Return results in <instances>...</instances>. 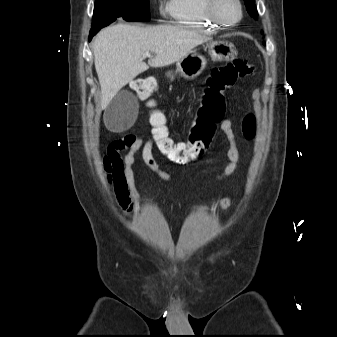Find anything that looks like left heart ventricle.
Here are the masks:
<instances>
[{
    "label": "left heart ventricle",
    "mask_w": 337,
    "mask_h": 337,
    "mask_svg": "<svg viewBox=\"0 0 337 337\" xmlns=\"http://www.w3.org/2000/svg\"><path fill=\"white\" fill-rule=\"evenodd\" d=\"M221 14L228 20H236L239 16L237 6L233 0H223L220 5Z\"/></svg>",
    "instance_id": "1"
}]
</instances>
